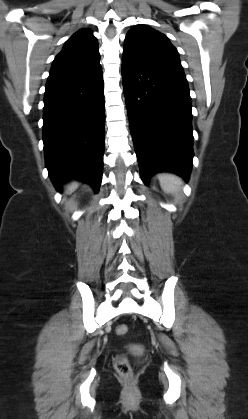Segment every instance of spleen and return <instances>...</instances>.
<instances>
[{"mask_svg": "<svg viewBox=\"0 0 248 419\" xmlns=\"http://www.w3.org/2000/svg\"><path fill=\"white\" fill-rule=\"evenodd\" d=\"M159 182L162 190L170 194L176 193L182 185L181 179L173 174L159 175Z\"/></svg>", "mask_w": 248, "mask_h": 419, "instance_id": "1", "label": "spleen"}]
</instances>
